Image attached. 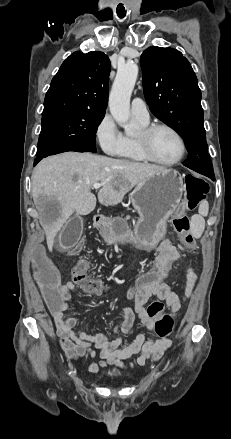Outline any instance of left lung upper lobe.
<instances>
[{
  "instance_id": "obj_1",
  "label": "left lung upper lobe",
  "mask_w": 231,
  "mask_h": 439,
  "mask_svg": "<svg viewBox=\"0 0 231 439\" xmlns=\"http://www.w3.org/2000/svg\"><path fill=\"white\" fill-rule=\"evenodd\" d=\"M140 63L151 112L184 139L189 156L183 165L211 178L214 171L205 136L201 91L190 63L178 50L157 46L147 48Z\"/></svg>"
}]
</instances>
